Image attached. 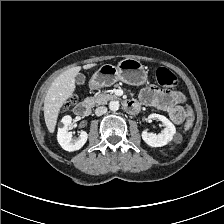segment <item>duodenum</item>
<instances>
[{"mask_svg":"<svg viewBox=\"0 0 224 224\" xmlns=\"http://www.w3.org/2000/svg\"><path fill=\"white\" fill-rule=\"evenodd\" d=\"M135 101L136 100H127L124 102L123 106L126 112L133 114L139 110L140 105ZM91 108L92 102L89 100H85L76 104V106L74 107V113L79 117H85L90 113Z\"/></svg>","mask_w":224,"mask_h":224,"instance_id":"410a0bca","label":"duodenum"}]
</instances>
